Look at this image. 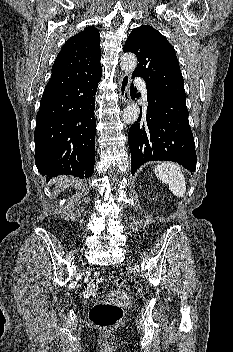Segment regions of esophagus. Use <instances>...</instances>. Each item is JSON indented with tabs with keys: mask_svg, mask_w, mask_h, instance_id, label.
<instances>
[{
	"mask_svg": "<svg viewBox=\"0 0 233 352\" xmlns=\"http://www.w3.org/2000/svg\"><path fill=\"white\" fill-rule=\"evenodd\" d=\"M130 83L131 79L129 74L123 73L119 80V92L124 104H127L130 101Z\"/></svg>",
	"mask_w": 233,
	"mask_h": 352,
	"instance_id": "1",
	"label": "esophagus"
}]
</instances>
